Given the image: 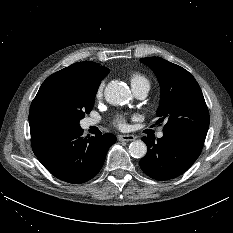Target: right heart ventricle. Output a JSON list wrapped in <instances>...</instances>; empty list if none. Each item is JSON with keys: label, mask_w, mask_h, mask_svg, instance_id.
Returning <instances> with one entry per match:
<instances>
[{"label": "right heart ventricle", "mask_w": 233, "mask_h": 233, "mask_svg": "<svg viewBox=\"0 0 233 233\" xmlns=\"http://www.w3.org/2000/svg\"><path fill=\"white\" fill-rule=\"evenodd\" d=\"M130 82H131L132 87L138 86L141 84H145V83L149 84L148 79L144 75H142L141 73H138V72L131 74Z\"/></svg>", "instance_id": "1"}]
</instances>
